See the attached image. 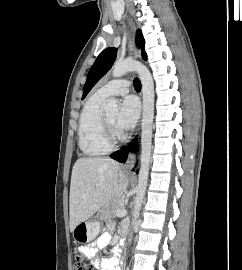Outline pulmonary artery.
I'll use <instances>...</instances> for the list:
<instances>
[{"mask_svg":"<svg viewBox=\"0 0 242 270\" xmlns=\"http://www.w3.org/2000/svg\"><path fill=\"white\" fill-rule=\"evenodd\" d=\"M129 87V81L116 79L103 85L95 94L100 98L107 99L112 96L127 94L129 92Z\"/></svg>","mask_w":242,"mask_h":270,"instance_id":"obj_1","label":"pulmonary artery"}]
</instances>
